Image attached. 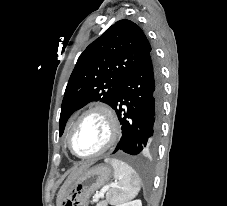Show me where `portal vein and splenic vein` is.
<instances>
[{
    "mask_svg": "<svg viewBox=\"0 0 227 206\" xmlns=\"http://www.w3.org/2000/svg\"><path fill=\"white\" fill-rule=\"evenodd\" d=\"M116 186H117L116 183H113V184H110V185L106 186L100 194H96L95 198L98 199V198H100V197H103V196H104V192H105L106 190H108V189L111 188V187H116Z\"/></svg>",
    "mask_w": 227,
    "mask_h": 206,
    "instance_id": "portal-vein-and-splenic-vein-1",
    "label": "portal vein and splenic vein"
}]
</instances>
